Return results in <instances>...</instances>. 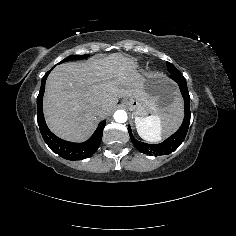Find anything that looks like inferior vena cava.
<instances>
[{
  "label": "inferior vena cava",
  "mask_w": 236,
  "mask_h": 236,
  "mask_svg": "<svg viewBox=\"0 0 236 236\" xmlns=\"http://www.w3.org/2000/svg\"><path fill=\"white\" fill-rule=\"evenodd\" d=\"M95 112H96V113H98V112H99V110H98V109H95Z\"/></svg>",
  "instance_id": "1"
}]
</instances>
